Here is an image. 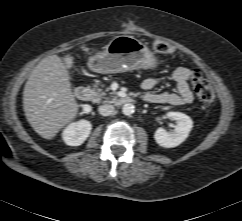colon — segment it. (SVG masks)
Wrapping results in <instances>:
<instances>
[{
    "instance_id": "colon-1",
    "label": "colon",
    "mask_w": 242,
    "mask_h": 221,
    "mask_svg": "<svg viewBox=\"0 0 242 221\" xmlns=\"http://www.w3.org/2000/svg\"><path fill=\"white\" fill-rule=\"evenodd\" d=\"M153 50L158 53L164 54H173L175 53V49L162 41H156L152 44ZM191 84L194 89L195 94L197 95L198 99L205 103L210 104L215 99V92L213 87L210 83L202 76L200 71L195 70L192 72L191 75Z\"/></svg>"
}]
</instances>
